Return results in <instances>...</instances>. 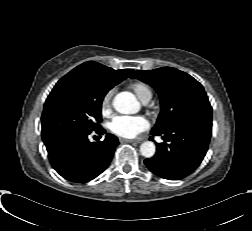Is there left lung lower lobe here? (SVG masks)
<instances>
[{
  "label": "left lung lower lobe",
  "instance_id": "0a47b994",
  "mask_svg": "<svg viewBox=\"0 0 252 231\" xmlns=\"http://www.w3.org/2000/svg\"><path fill=\"white\" fill-rule=\"evenodd\" d=\"M212 120L190 118L176 123L162 133L164 143H157L156 154L144 161L154 174L170 180L191 174L202 162L211 138ZM151 136V140L153 139Z\"/></svg>",
  "mask_w": 252,
  "mask_h": 231
}]
</instances>
